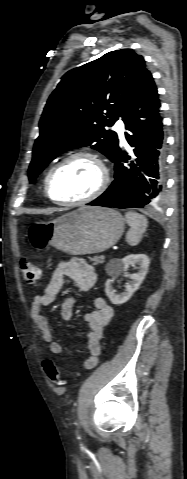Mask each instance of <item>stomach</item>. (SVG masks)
Instances as JSON below:
<instances>
[{"instance_id":"obj_1","label":"stomach","mask_w":187,"mask_h":479,"mask_svg":"<svg viewBox=\"0 0 187 479\" xmlns=\"http://www.w3.org/2000/svg\"><path fill=\"white\" fill-rule=\"evenodd\" d=\"M125 219L109 208L83 206L57 219L34 222L29 240L41 250L48 245L72 255L99 253L115 245L124 232Z\"/></svg>"}]
</instances>
